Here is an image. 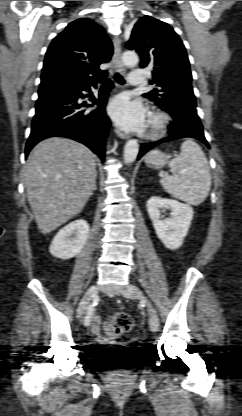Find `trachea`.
Segmentation results:
<instances>
[{
  "mask_svg": "<svg viewBox=\"0 0 242 416\" xmlns=\"http://www.w3.org/2000/svg\"><path fill=\"white\" fill-rule=\"evenodd\" d=\"M114 79H115V80H116V82H117V83H119V84H125V80H124V78H123L120 74H118V73H116V74H115Z\"/></svg>",
  "mask_w": 242,
  "mask_h": 416,
  "instance_id": "trachea-1",
  "label": "trachea"
}]
</instances>
